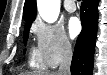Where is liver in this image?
I'll return each mask as SVG.
<instances>
[{"mask_svg":"<svg viewBox=\"0 0 107 75\" xmlns=\"http://www.w3.org/2000/svg\"><path fill=\"white\" fill-rule=\"evenodd\" d=\"M21 75H57L56 73H37V72H31V73H25Z\"/></svg>","mask_w":107,"mask_h":75,"instance_id":"liver-1","label":"liver"}]
</instances>
